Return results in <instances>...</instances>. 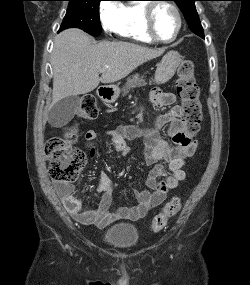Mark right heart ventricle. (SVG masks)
<instances>
[{
  "label": "right heart ventricle",
  "mask_w": 250,
  "mask_h": 285,
  "mask_svg": "<svg viewBox=\"0 0 250 285\" xmlns=\"http://www.w3.org/2000/svg\"><path fill=\"white\" fill-rule=\"evenodd\" d=\"M145 7L144 2H131L123 6L122 22L118 31L121 37L146 44L153 42L145 31Z\"/></svg>",
  "instance_id": "obj_1"
}]
</instances>
